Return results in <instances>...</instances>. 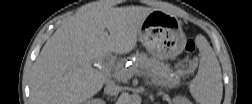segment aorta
<instances>
[{
    "mask_svg": "<svg viewBox=\"0 0 252 104\" xmlns=\"http://www.w3.org/2000/svg\"><path fill=\"white\" fill-rule=\"evenodd\" d=\"M126 102L129 104H139L141 102V98L139 95H126Z\"/></svg>",
    "mask_w": 252,
    "mask_h": 104,
    "instance_id": "aorta-1",
    "label": "aorta"
}]
</instances>
